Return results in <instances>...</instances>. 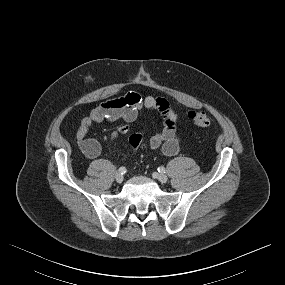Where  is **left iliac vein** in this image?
<instances>
[{"instance_id": "1", "label": "left iliac vein", "mask_w": 285, "mask_h": 285, "mask_svg": "<svg viewBox=\"0 0 285 285\" xmlns=\"http://www.w3.org/2000/svg\"><path fill=\"white\" fill-rule=\"evenodd\" d=\"M154 177H155L157 180H159L160 182H162V183H166L167 180H168L167 175H165V174H163V173H156V174L154 175Z\"/></svg>"}]
</instances>
